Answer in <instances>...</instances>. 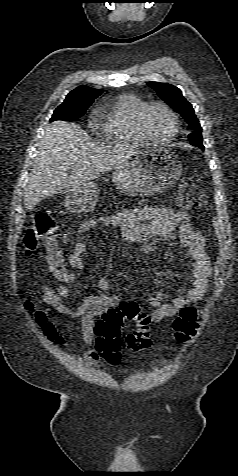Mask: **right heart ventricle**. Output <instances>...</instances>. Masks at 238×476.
I'll use <instances>...</instances> for the list:
<instances>
[{"mask_svg": "<svg viewBox=\"0 0 238 476\" xmlns=\"http://www.w3.org/2000/svg\"><path fill=\"white\" fill-rule=\"evenodd\" d=\"M144 100L131 93H121L113 97L103 108L98 129L103 138L113 144L143 145L146 141L140 135L136 116Z\"/></svg>", "mask_w": 238, "mask_h": 476, "instance_id": "obj_1", "label": "right heart ventricle"}]
</instances>
